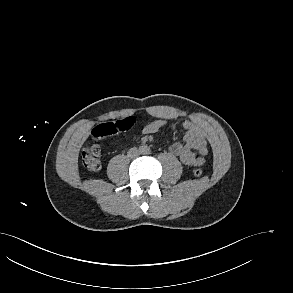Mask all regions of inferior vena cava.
Wrapping results in <instances>:
<instances>
[{
    "instance_id": "obj_1",
    "label": "inferior vena cava",
    "mask_w": 293,
    "mask_h": 293,
    "mask_svg": "<svg viewBox=\"0 0 293 293\" xmlns=\"http://www.w3.org/2000/svg\"><path fill=\"white\" fill-rule=\"evenodd\" d=\"M140 155V152L137 148H132L128 151V156L131 158H135Z\"/></svg>"
}]
</instances>
